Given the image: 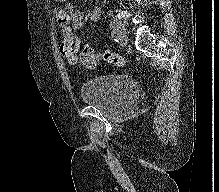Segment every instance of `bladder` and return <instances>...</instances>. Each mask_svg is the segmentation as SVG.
Segmentation results:
<instances>
[{
    "instance_id": "31cf9c89",
    "label": "bladder",
    "mask_w": 219,
    "mask_h": 192,
    "mask_svg": "<svg viewBox=\"0 0 219 192\" xmlns=\"http://www.w3.org/2000/svg\"><path fill=\"white\" fill-rule=\"evenodd\" d=\"M84 104L101 110L108 117L129 111L138 97L136 83L122 75H108L85 81L80 88Z\"/></svg>"
}]
</instances>
